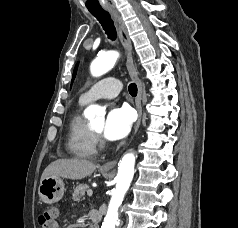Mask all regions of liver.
<instances>
[{
    "instance_id": "6515ba94",
    "label": "liver",
    "mask_w": 238,
    "mask_h": 228,
    "mask_svg": "<svg viewBox=\"0 0 238 228\" xmlns=\"http://www.w3.org/2000/svg\"><path fill=\"white\" fill-rule=\"evenodd\" d=\"M96 168L95 163L84 159H58L45 168L41 181L49 176L80 180L90 176Z\"/></svg>"
}]
</instances>
